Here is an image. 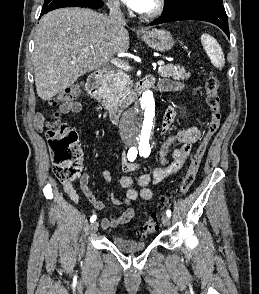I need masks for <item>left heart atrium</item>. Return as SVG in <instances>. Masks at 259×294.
Returning <instances> with one entry per match:
<instances>
[{
  "instance_id": "left-heart-atrium-1",
  "label": "left heart atrium",
  "mask_w": 259,
  "mask_h": 294,
  "mask_svg": "<svg viewBox=\"0 0 259 294\" xmlns=\"http://www.w3.org/2000/svg\"><path fill=\"white\" fill-rule=\"evenodd\" d=\"M127 6L135 11H141L148 0H122Z\"/></svg>"
}]
</instances>
